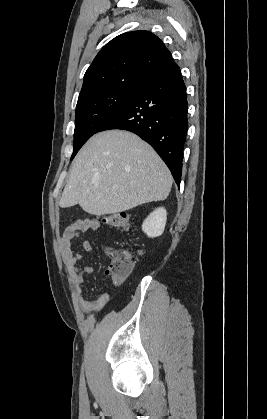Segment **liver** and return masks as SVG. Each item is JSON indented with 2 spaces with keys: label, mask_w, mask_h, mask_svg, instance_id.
Listing matches in <instances>:
<instances>
[{
  "label": "liver",
  "mask_w": 267,
  "mask_h": 419,
  "mask_svg": "<svg viewBox=\"0 0 267 419\" xmlns=\"http://www.w3.org/2000/svg\"><path fill=\"white\" fill-rule=\"evenodd\" d=\"M172 175L137 135L109 130L94 135L77 154L59 205L77 204L92 215L115 214L165 200Z\"/></svg>",
  "instance_id": "6515ba94"
}]
</instances>
